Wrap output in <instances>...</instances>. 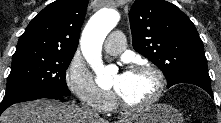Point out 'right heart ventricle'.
I'll return each mask as SVG.
<instances>
[{
	"label": "right heart ventricle",
	"mask_w": 221,
	"mask_h": 123,
	"mask_svg": "<svg viewBox=\"0 0 221 123\" xmlns=\"http://www.w3.org/2000/svg\"><path fill=\"white\" fill-rule=\"evenodd\" d=\"M115 107V102H113L112 106H111V109H113ZM110 109V110H111Z\"/></svg>",
	"instance_id": "right-heart-ventricle-1"
}]
</instances>
